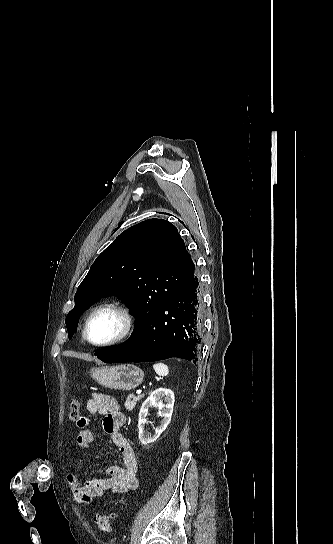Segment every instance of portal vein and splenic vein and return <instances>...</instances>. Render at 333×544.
<instances>
[{"instance_id":"portal-vein-and-splenic-vein-1","label":"portal vein and splenic vein","mask_w":333,"mask_h":544,"mask_svg":"<svg viewBox=\"0 0 333 544\" xmlns=\"http://www.w3.org/2000/svg\"><path fill=\"white\" fill-rule=\"evenodd\" d=\"M141 392H142V390H138L136 393H137V394H141Z\"/></svg>"}]
</instances>
